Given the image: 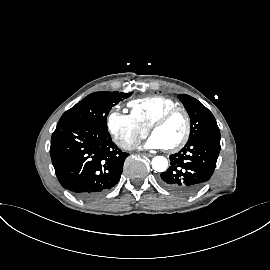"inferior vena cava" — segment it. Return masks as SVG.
Returning a JSON list of instances; mask_svg holds the SVG:
<instances>
[{
  "mask_svg": "<svg viewBox=\"0 0 270 270\" xmlns=\"http://www.w3.org/2000/svg\"><path fill=\"white\" fill-rule=\"evenodd\" d=\"M123 147H124L125 149H127V150H131V149L134 148V145H133L132 143H128V144H125Z\"/></svg>",
  "mask_w": 270,
  "mask_h": 270,
  "instance_id": "1",
  "label": "inferior vena cava"
}]
</instances>
